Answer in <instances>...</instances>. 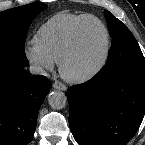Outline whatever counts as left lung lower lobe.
I'll return each mask as SVG.
<instances>
[{"instance_id":"0a47b994","label":"left lung lower lobe","mask_w":145,"mask_h":145,"mask_svg":"<svg viewBox=\"0 0 145 145\" xmlns=\"http://www.w3.org/2000/svg\"><path fill=\"white\" fill-rule=\"evenodd\" d=\"M69 124L79 145H126L145 114V69L70 87Z\"/></svg>"}]
</instances>
